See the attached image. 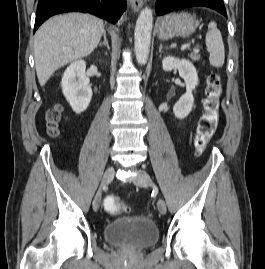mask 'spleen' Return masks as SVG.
Instances as JSON below:
<instances>
[{
    "label": "spleen",
    "mask_w": 265,
    "mask_h": 269,
    "mask_svg": "<svg viewBox=\"0 0 265 269\" xmlns=\"http://www.w3.org/2000/svg\"><path fill=\"white\" fill-rule=\"evenodd\" d=\"M205 41L207 50L210 53V65L216 68L222 67L225 60L224 44L221 33L214 21H211L208 25Z\"/></svg>",
    "instance_id": "1"
}]
</instances>
